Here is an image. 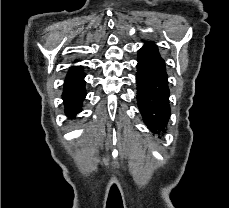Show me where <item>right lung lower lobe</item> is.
Wrapping results in <instances>:
<instances>
[{"label": "right lung lower lobe", "mask_w": 229, "mask_h": 208, "mask_svg": "<svg viewBox=\"0 0 229 208\" xmlns=\"http://www.w3.org/2000/svg\"><path fill=\"white\" fill-rule=\"evenodd\" d=\"M84 76L81 71L65 80L62 98L69 118H74L81 111V104L86 96Z\"/></svg>", "instance_id": "1"}]
</instances>
